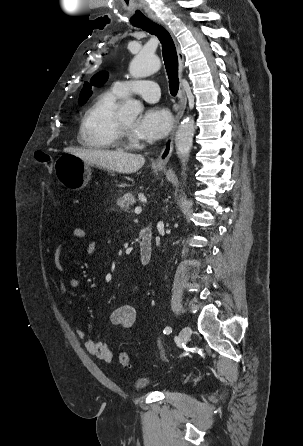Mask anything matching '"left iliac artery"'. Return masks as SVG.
<instances>
[{
    "mask_svg": "<svg viewBox=\"0 0 303 446\" xmlns=\"http://www.w3.org/2000/svg\"><path fill=\"white\" fill-rule=\"evenodd\" d=\"M163 332H164V334H170L172 332V328L167 326V327H165Z\"/></svg>",
    "mask_w": 303,
    "mask_h": 446,
    "instance_id": "1",
    "label": "left iliac artery"
}]
</instances>
